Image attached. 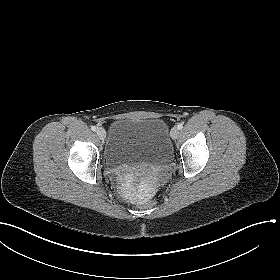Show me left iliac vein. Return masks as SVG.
I'll return each instance as SVG.
<instances>
[{
    "mask_svg": "<svg viewBox=\"0 0 280 280\" xmlns=\"http://www.w3.org/2000/svg\"><path fill=\"white\" fill-rule=\"evenodd\" d=\"M179 135V129L177 127H173L170 131V136L173 140L177 139Z\"/></svg>",
    "mask_w": 280,
    "mask_h": 280,
    "instance_id": "left-iliac-vein-1",
    "label": "left iliac vein"
}]
</instances>
